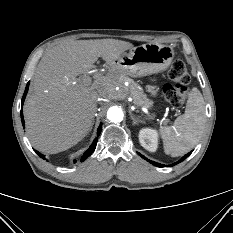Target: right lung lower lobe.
Listing matches in <instances>:
<instances>
[{
  "instance_id": "obj_1",
  "label": "right lung lower lobe",
  "mask_w": 233,
  "mask_h": 233,
  "mask_svg": "<svg viewBox=\"0 0 233 233\" xmlns=\"http://www.w3.org/2000/svg\"><path fill=\"white\" fill-rule=\"evenodd\" d=\"M28 87H29V83L27 84L26 89H25V92H24V95H23V97H22V106H23V103H24L26 94H27V92H28ZM21 120H22V124H23V126H24V118H23V113H22V111H21ZM101 126H102V125H100V126L98 127L97 137H98L99 134H100ZM97 141H98V138H95L94 141H93V143H92V145L89 147V149H88V150L84 153V155L82 156L81 161H84L87 157H89V156L92 154V152H93V151L95 150V148H96ZM36 153H37L42 159H45V156H44L43 154L39 153L38 151H36Z\"/></svg>"
}]
</instances>
